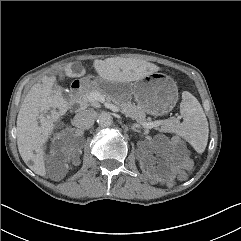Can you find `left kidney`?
Segmentation results:
<instances>
[{
	"label": "left kidney",
	"instance_id": "left-kidney-1",
	"mask_svg": "<svg viewBox=\"0 0 241 241\" xmlns=\"http://www.w3.org/2000/svg\"><path fill=\"white\" fill-rule=\"evenodd\" d=\"M153 151H159V146L155 143H149L148 146L145 148V152L150 154Z\"/></svg>",
	"mask_w": 241,
	"mask_h": 241
}]
</instances>
